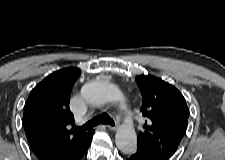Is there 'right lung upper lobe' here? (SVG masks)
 Returning <instances> with one entry per match:
<instances>
[{
    "mask_svg": "<svg viewBox=\"0 0 225 160\" xmlns=\"http://www.w3.org/2000/svg\"><path fill=\"white\" fill-rule=\"evenodd\" d=\"M78 68L53 72L30 93L24 107L26 137L38 157L75 154L89 142L93 130H73L69 108L72 87L80 76Z\"/></svg>",
    "mask_w": 225,
    "mask_h": 160,
    "instance_id": "right-lung-upper-lobe-1",
    "label": "right lung upper lobe"
}]
</instances>
